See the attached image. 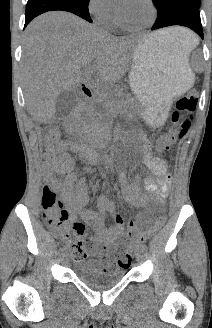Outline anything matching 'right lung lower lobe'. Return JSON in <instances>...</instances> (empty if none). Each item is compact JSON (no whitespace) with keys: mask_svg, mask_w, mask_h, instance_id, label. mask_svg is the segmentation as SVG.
Segmentation results:
<instances>
[{"mask_svg":"<svg viewBox=\"0 0 212 328\" xmlns=\"http://www.w3.org/2000/svg\"><path fill=\"white\" fill-rule=\"evenodd\" d=\"M88 4L89 0H28L24 28L36 16L55 10L68 11L91 22Z\"/></svg>","mask_w":212,"mask_h":328,"instance_id":"1","label":"right lung lower lobe"}]
</instances>
